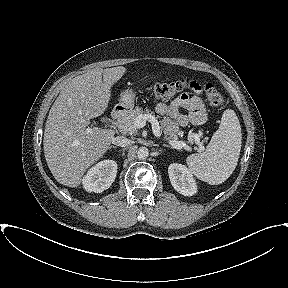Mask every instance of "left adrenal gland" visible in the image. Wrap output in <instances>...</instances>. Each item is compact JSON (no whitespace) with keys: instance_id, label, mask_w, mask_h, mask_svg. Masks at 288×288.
Returning a JSON list of instances; mask_svg holds the SVG:
<instances>
[{"instance_id":"left-adrenal-gland-1","label":"left adrenal gland","mask_w":288,"mask_h":288,"mask_svg":"<svg viewBox=\"0 0 288 288\" xmlns=\"http://www.w3.org/2000/svg\"><path fill=\"white\" fill-rule=\"evenodd\" d=\"M165 147H170L169 145L164 144Z\"/></svg>"}]
</instances>
